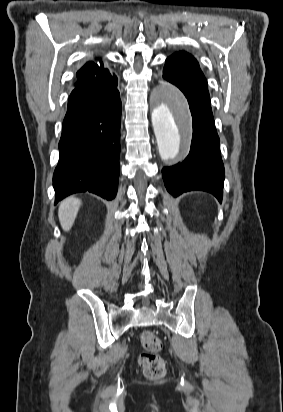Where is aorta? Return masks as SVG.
Masks as SVG:
<instances>
[{
	"instance_id": "1",
	"label": "aorta",
	"mask_w": 283,
	"mask_h": 412,
	"mask_svg": "<svg viewBox=\"0 0 283 412\" xmlns=\"http://www.w3.org/2000/svg\"><path fill=\"white\" fill-rule=\"evenodd\" d=\"M152 124L162 159L176 158L190 132L189 108L183 94L164 86L152 112Z\"/></svg>"
}]
</instances>
